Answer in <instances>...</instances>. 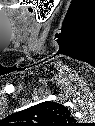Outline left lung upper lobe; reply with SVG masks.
Returning <instances> with one entry per match:
<instances>
[{"mask_svg":"<svg viewBox=\"0 0 95 126\" xmlns=\"http://www.w3.org/2000/svg\"><path fill=\"white\" fill-rule=\"evenodd\" d=\"M18 126H71L73 117L60 103L45 101L10 116Z\"/></svg>","mask_w":95,"mask_h":126,"instance_id":"obj_1","label":"left lung upper lobe"}]
</instances>
